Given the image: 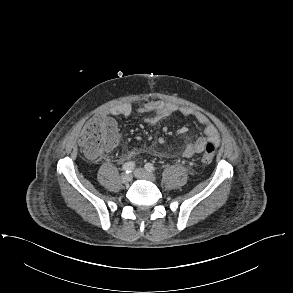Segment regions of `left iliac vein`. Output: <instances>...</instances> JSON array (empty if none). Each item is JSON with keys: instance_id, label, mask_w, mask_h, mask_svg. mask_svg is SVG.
I'll return each mask as SVG.
<instances>
[{"instance_id": "left-iliac-vein-1", "label": "left iliac vein", "mask_w": 293, "mask_h": 293, "mask_svg": "<svg viewBox=\"0 0 293 293\" xmlns=\"http://www.w3.org/2000/svg\"><path fill=\"white\" fill-rule=\"evenodd\" d=\"M134 175L137 177V178H140V179H145V180H149L151 182H155L156 181V177L154 174L142 169V168H137L135 171H134Z\"/></svg>"}]
</instances>
